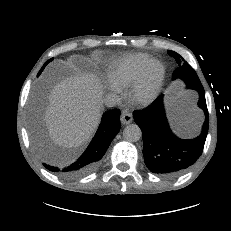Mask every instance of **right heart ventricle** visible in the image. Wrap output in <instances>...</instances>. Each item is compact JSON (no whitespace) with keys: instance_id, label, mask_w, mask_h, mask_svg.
<instances>
[{"instance_id":"right-heart-ventricle-1","label":"right heart ventricle","mask_w":231,"mask_h":231,"mask_svg":"<svg viewBox=\"0 0 231 231\" xmlns=\"http://www.w3.org/2000/svg\"><path fill=\"white\" fill-rule=\"evenodd\" d=\"M151 61L152 58L147 54L138 53L126 56L111 67L109 77L119 89L126 88L133 84Z\"/></svg>"}]
</instances>
